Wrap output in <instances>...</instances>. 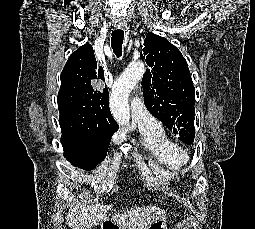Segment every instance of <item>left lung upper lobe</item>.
<instances>
[{
    "label": "left lung upper lobe",
    "mask_w": 255,
    "mask_h": 229,
    "mask_svg": "<svg viewBox=\"0 0 255 229\" xmlns=\"http://www.w3.org/2000/svg\"><path fill=\"white\" fill-rule=\"evenodd\" d=\"M140 53L149 68L142 79L148 111L186 144L194 141L195 88L181 52L161 36L149 32Z\"/></svg>",
    "instance_id": "1"
}]
</instances>
